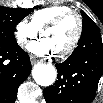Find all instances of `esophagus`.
Listing matches in <instances>:
<instances>
[{
	"mask_svg": "<svg viewBox=\"0 0 103 103\" xmlns=\"http://www.w3.org/2000/svg\"><path fill=\"white\" fill-rule=\"evenodd\" d=\"M30 61H31L32 64L39 62V60L37 58H35L34 56L30 57Z\"/></svg>",
	"mask_w": 103,
	"mask_h": 103,
	"instance_id": "obj_1",
	"label": "esophagus"
}]
</instances>
